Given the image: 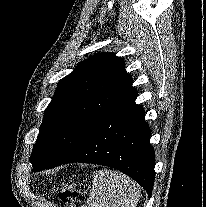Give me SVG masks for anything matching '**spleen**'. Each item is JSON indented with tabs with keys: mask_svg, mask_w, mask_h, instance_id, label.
Masks as SVG:
<instances>
[{
	"mask_svg": "<svg viewBox=\"0 0 206 207\" xmlns=\"http://www.w3.org/2000/svg\"><path fill=\"white\" fill-rule=\"evenodd\" d=\"M140 188L126 175L114 170L93 173V184L82 207H136Z\"/></svg>",
	"mask_w": 206,
	"mask_h": 207,
	"instance_id": "obj_1",
	"label": "spleen"
}]
</instances>
